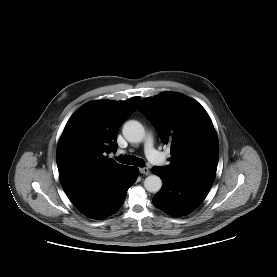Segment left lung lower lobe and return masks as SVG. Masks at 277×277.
Listing matches in <instances>:
<instances>
[{
	"mask_svg": "<svg viewBox=\"0 0 277 277\" xmlns=\"http://www.w3.org/2000/svg\"><path fill=\"white\" fill-rule=\"evenodd\" d=\"M154 174L161 177L163 185L153 198V203L160 210L182 216L196 209L207 196L214 181L198 177H183L153 167Z\"/></svg>",
	"mask_w": 277,
	"mask_h": 277,
	"instance_id": "1",
	"label": "left lung lower lobe"
}]
</instances>
